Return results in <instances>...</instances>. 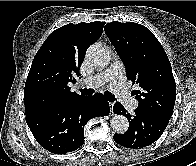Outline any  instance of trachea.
Instances as JSON below:
<instances>
[{
    "instance_id": "obj_1",
    "label": "trachea",
    "mask_w": 196,
    "mask_h": 166,
    "mask_svg": "<svg viewBox=\"0 0 196 166\" xmlns=\"http://www.w3.org/2000/svg\"><path fill=\"white\" fill-rule=\"evenodd\" d=\"M81 93L83 95H92L94 93V91L92 89H80ZM104 97L110 101V102H114L116 100L115 96L112 95L111 93H109L108 91H105L104 92Z\"/></svg>"
}]
</instances>
